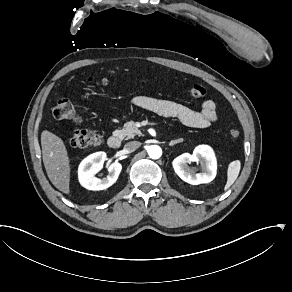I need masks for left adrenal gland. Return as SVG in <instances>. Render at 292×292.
<instances>
[{
    "label": "left adrenal gland",
    "instance_id": "1",
    "mask_svg": "<svg viewBox=\"0 0 292 292\" xmlns=\"http://www.w3.org/2000/svg\"><path fill=\"white\" fill-rule=\"evenodd\" d=\"M182 141H183L182 138L177 139V140H172V141L169 143V145H170V146H173L174 144L180 143V142H182Z\"/></svg>",
    "mask_w": 292,
    "mask_h": 292
}]
</instances>
